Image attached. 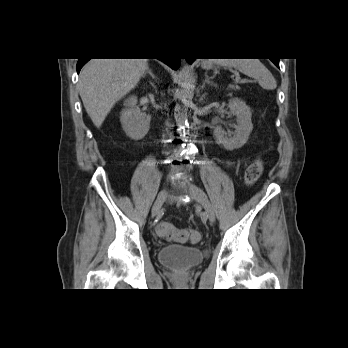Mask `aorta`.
<instances>
[{
    "mask_svg": "<svg viewBox=\"0 0 348 348\" xmlns=\"http://www.w3.org/2000/svg\"><path fill=\"white\" fill-rule=\"evenodd\" d=\"M178 84L179 90L177 97L180 104L175 107L174 117L178 134L180 137L185 138L186 129L188 127V107L192 103L194 95V77L188 68H183Z\"/></svg>",
    "mask_w": 348,
    "mask_h": 348,
    "instance_id": "aorta-1",
    "label": "aorta"
}]
</instances>
